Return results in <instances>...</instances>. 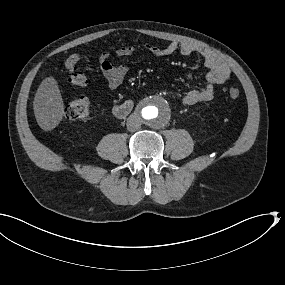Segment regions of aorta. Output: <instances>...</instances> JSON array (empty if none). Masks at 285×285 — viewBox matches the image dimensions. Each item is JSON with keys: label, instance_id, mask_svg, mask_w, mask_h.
<instances>
[{"label": "aorta", "instance_id": "762f6f07", "mask_svg": "<svg viewBox=\"0 0 285 285\" xmlns=\"http://www.w3.org/2000/svg\"><path fill=\"white\" fill-rule=\"evenodd\" d=\"M140 117L146 127L160 130L170 124L173 110L167 100L158 96H151L142 102Z\"/></svg>", "mask_w": 285, "mask_h": 285}]
</instances>
